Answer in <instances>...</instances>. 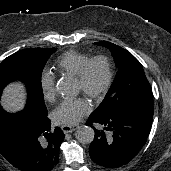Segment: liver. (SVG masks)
<instances>
[{
    "instance_id": "liver-1",
    "label": "liver",
    "mask_w": 171,
    "mask_h": 171,
    "mask_svg": "<svg viewBox=\"0 0 171 171\" xmlns=\"http://www.w3.org/2000/svg\"><path fill=\"white\" fill-rule=\"evenodd\" d=\"M25 90L20 84H12L6 88L2 104L7 110H19L25 103Z\"/></svg>"
}]
</instances>
